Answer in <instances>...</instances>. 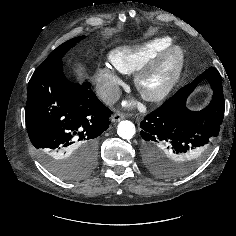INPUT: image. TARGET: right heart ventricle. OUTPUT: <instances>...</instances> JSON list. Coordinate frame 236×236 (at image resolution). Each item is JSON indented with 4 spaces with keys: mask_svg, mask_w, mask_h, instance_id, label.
Here are the masks:
<instances>
[{
    "mask_svg": "<svg viewBox=\"0 0 236 236\" xmlns=\"http://www.w3.org/2000/svg\"><path fill=\"white\" fill-rule=\"evenodd\" d=\"M170 44L171 40L167 37L151 38L140 44L115 48L110 52L109 60L119 72L131 74L168 48Z\"/></svg>",
    "mask_w": 236,
    "mask_h": 236,
    "instance_id": "1",
    "label": "right heart ventricle"
}]
</instances>
